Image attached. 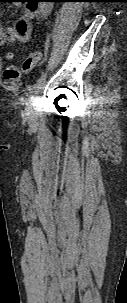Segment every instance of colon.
I'll use <instances>...</instances> for the list:
<instances>
[{
	"mask_svg": "<svg viewBox=\"0 0 127 303\" xmlns=\"http://www.w3.org/2000/svg\"><path fill=\"white\" fill-rule=\"evenodd\" d=\"M40 53L34 52L30 54L24 61L22 67L14 65L8 66L4 71V77L8 81L16 82L20 80L22 73L28 72L40 60Z\"/></svg>",
	"mask_w": 127,
	"mask_h": 303,
	"instance_id": "1",
	"label": "colon"
}]
</instances>
